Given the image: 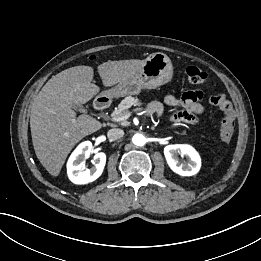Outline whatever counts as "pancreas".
<instances>
[{
    "label": "pancreas",
    "instance_id": "cf45deb5",
    "mask_svg": "<svg viewBox=\"0 0 261 261\" xmlns=\"http://www.w3.org/2000/svg\"><path fill=\"white\" fill-rule=\"evenodd\" d=\"M141 104L142 103L140 102V100L138 98L128 96L120 102V104L118 105V109L113 112V116L124 117V116L130 114L129 108L131 106H140ZM126 119L127 118H124L121 121L122 125L126 124Z\"/></svg>",
    "mask_w": 261,
    "mask_h": 261
}]
</instances>
